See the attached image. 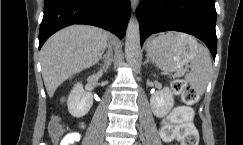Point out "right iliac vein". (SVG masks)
Here are the masks:
<instances>
[{"label":"right iliac vein","instance_id":"1","mask_svg":"<svg viewBox=\"0 0 243 145\" xmlns=\"http://www.w3.org/2000/svg\"><path fill=\"white\" fill-rule=\"evenodd\" d=\"M102 145H109L108 143H103Z\"/></svg>","mask_w":243,"mask_h":145}]
</instances>
